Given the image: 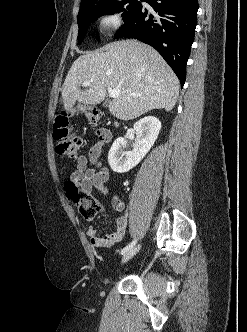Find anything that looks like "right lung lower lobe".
Returning a JSON list of instances; mask_svg holds the SVG:
<instances>
[{
	"label": "right lung lower lobe",
	"instance_id": "1",
	"mask_svg": "<svg viewBox=\"0 0 247 332\" xmlns=\"http://www.w3.org/2000/svg\"><path fill=\"white\" fill-rule=\"evenodd\" d=\"M156 15L140 8L124 20L114 38H136L154 47L171 66L181 85L186 79V63L197 22V0H144Z\"/></svg>",
	"mask_w": 247,
	"mask_h": 332
}]
</instances>
